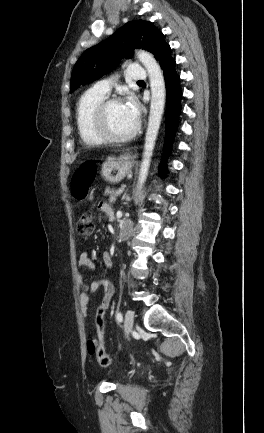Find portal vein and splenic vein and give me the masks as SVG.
Segmentation results:
<instances>
[{"label":"portal vein and splenic vein","instance_id":"portal-vein-and-splenic-vein-1","mask_svg":"<svg viewBox=\"0 0 264 433\" xmlns=\"http://www.w3.org/2000/svg\"><path fill=\"white\" fill-rule=\"evenodd\" d=\"M123 191H124V189L120 188V189L117 190V194H122Z\"/></svg>","mask_w":264,"mask_h":433}]
</instances>
